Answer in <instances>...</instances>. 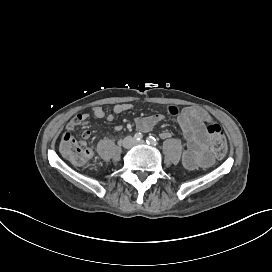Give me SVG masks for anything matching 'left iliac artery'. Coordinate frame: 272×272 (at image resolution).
Returning a JSON list of instances; mask_svg holds the SVG:
<instances>
[{"label":"left iliac artery","instance_id":"1","mask_svg":"<svg viewBox=\"0 0 272 272\" xmlns=\"http://www.w3.org/2000/svg\"><path fill=\"white\" fill-rule=\"evenodd\" d=\"M146 143L149 144V145H152V146H157L158 145L157 140L152 136H149V137L146 138Z\"/></svg>","mask_w":272,"mask_h":272}]
</instances>
